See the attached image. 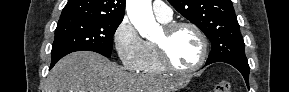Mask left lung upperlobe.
<instances>
[{"instance_id":"left-lung-upper-lobe-1","label":"left lung upper lobe","mask_w":289,"mask_h":92,"mask_svg":"<svg viewBox=\"0 0 289 92\" xmlns=\"http://www.w3.org/2000/svg\"><path fill=\"white\" fill-rule=\"evenodd\" d=\"M209 38L212 50L207 62L220 59L247 61L244 41L231 0H168Z\"/></svg>"}]
</instances>
